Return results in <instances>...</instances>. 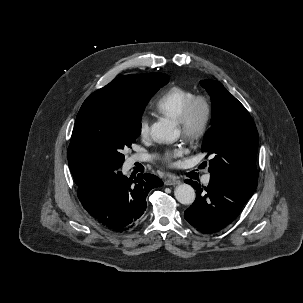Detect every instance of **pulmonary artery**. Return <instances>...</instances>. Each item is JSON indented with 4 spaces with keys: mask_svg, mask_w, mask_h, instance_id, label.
I'll return each mask as SVG.
<instances>
[{
    "mask_svg": "<svg viewBox=\"0 0 303 303\" xmlns=\"http://www.w3.org/2000/svg\"><path fill=\"white\" fill-rule=\"evenodd\" d=\"M147 158L144 157V156H136L135 157V160H140V161H143V160H146ZM202 182L203 184L205 185H208L209 182H210V176L208 174L204 175L203 178H202Z\"/></svg>",
    "mask_w": 303,
    "mask_h": 303,
    "instance_id": "obj_1",
    "label": "pulmonary artery"
}]
</instances>
